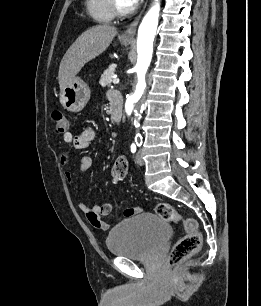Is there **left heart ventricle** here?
Segmentation results:
<instances>
[{
	"instance_id": "b2bd125f",
	"label": "left heart ventricle",
	"mask_w": 261,
	"mask_h": 306,
	"mask_svg": "<svg viewBox=\"0 0 261 306\" xmlns=\"http://www.w3.org/2000/svg\"><path fill=\"white\" fill-rule=\"evenodd\" d=\"M118 4L121 6V7H129V5L125 2V0H117Z\"/></svg>"
}]
</instances>
